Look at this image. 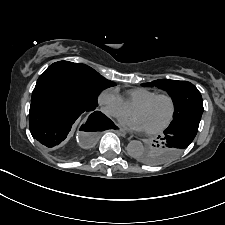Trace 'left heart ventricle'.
Listing matches in <instances>:
<instances>
[{
  "instance_id": "left-heart-ventricle-1",
  "label": "left heart ventricle",
  "mask_w": 225,
  "mask_h": 225,
  "mask_svg": "<svg viewBox=\"0 0 225 225\" xmlns=\"http://www.w3.org/2000/svg\"><path fill=\"white\" fill-rule=\"evenodd\" d=\"M170 111V102L165 98H160L146 107H132L130 112L140 118L146 130H150L165 123Z\"/></svg>"
}]
</instances>
